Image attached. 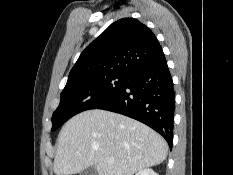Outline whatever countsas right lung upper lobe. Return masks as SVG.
Returning <instances> with one entry per match:
<instances>
[{"mask_svg": "<svg viewBox=\"0 0 233 175\" xmlns=\"http://www.w3.org/2000/svg\"><path fill=\"white\" fill-rule=\"evenodd\" d=\"M163 54L153 32L133 18L111 24L81 53L67 83L106 73L131 74Z\"/></svg>", "mask_w": 233, "mask_h": 175, "instance_id": "right-lung-upper-lobe-1", "label": "right lung upper lobe"}]
</instances>
